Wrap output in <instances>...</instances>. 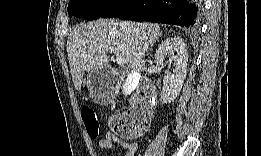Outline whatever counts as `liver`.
Returning <instances> with one entry per match:
<instances>
[{
	"label": "liver",
	"mask_w": 261,
	"mask_h": 156,
	"mask_svg": "<svg viewBox=\"0 0 261 156\" xmlns=\"http://www.w3.org/2000/svg\"><path fill=\"white\" fill-rule=\"evenodd\" d=\"M159 25L99 19L73 28L67 40V54L76 90L84 82V72L107 70L108 51L123 58L133 71L145 68V54L160 36Z\"/></svg>",
	"instance_id": "6515ba94"
}]
</instances>
